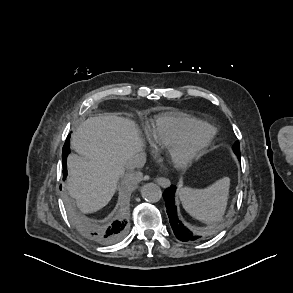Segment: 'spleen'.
Wrapping results in <instances>:
<instances>
[{
	"label": "spleen",
	"instance_id": "3e777b00",
	"mask_svg": "<svg viewBox=\"0 0 293 293\" xmlns=\"http://www.w3.org/2000/svg\"><path fill=\"white\" fill-rule=\"evenodd\" d=\"M229 188L230 178L224 177L204 189L183 187L178 195L187 213L204 223L213 224L223 219Z\"/></svg>",
	"mask_w": 293,
	"mask_h": 293
}]
</instances>
